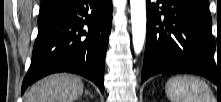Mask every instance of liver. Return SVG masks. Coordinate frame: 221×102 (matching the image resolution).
<instances>
[{
  "instance_id": "1",
  "label": "liver",
  "mask_w": 221,
  "mask_h": 102,
  "mask_svg": "<svg viewBox=\"0 0 221 102\" xmlns=\"http://www.w3.org/2000/svg\"><path fill=\"white\" fill-rule=\"evenodd\" d=\"M83 82L75 75L53 74L35 83L24 94L25 102H75L83 93Z\"/></svg>"
}]
</instances>
